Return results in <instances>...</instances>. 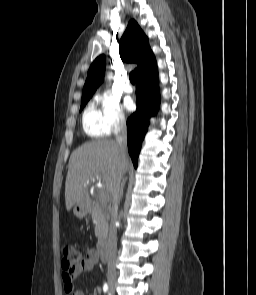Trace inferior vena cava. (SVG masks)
Returning a JSON list of instances; mask_svg holds the SVG:
<instances>
[{
	"label": "inferior vena cava",
	"instance_id": "1",
	"mask_svg": "<svg viewBox=\"0 0 256 295\" xmlns=\"http://www.w3.org/2000/svg\"><path fill=\"white\" fill-rule=\"evenodd\" d=\"M116 142L119 147L120 153V164L119 171H117V178L114 181L113 186L110 189V195L112 198V206L110 208V227L109 237L107 242V254H108V272H115V256L117 250V231L115 222L118 214V205L120 202L121 192V180L128 174V167H130L129 159H126L127 154V127L126 122L123 118L120 119L119 123L115 127Z\"/></svg>",
	"mask_w": 256,
	"mask_h": 295
}]
</instances>
